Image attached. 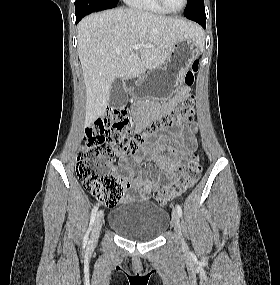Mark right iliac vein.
<instances>
[{"mask_svg": "<svg viewBox=\"0 0 280 285\" xmlns=\"http://www.w3.org/2000/svg\"><path fill=\"white\" fill-rule=\"evenodd\" d=\"M103 219H104V213L103 211H100L95 219V223L93 226V230L91 233V239H90V243L91 245H94V243L97 241L101 228H102V224H103Z\"/></svg>", "mask_w": 280, "mask_h": 285, "instance_id": "obj_1", "label": "right iliac vein"}]
</instances>
